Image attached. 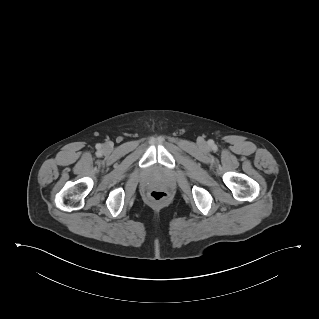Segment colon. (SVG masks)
<instances>
[{
  "label": "colon",
  "instance_id": "5ec220e1",
  "mask_svg": "<svg viewBox=\"0 0 319 319\" xmlns=\"http://www.w3.org/2000/svg\"><path fill=\"white\" fill-rule=\"evenodd\" d=\"M149 198L155 202H161L167 198V193L161 189H154L149 193Z\"/></svg>",
  "mask_w": 319,
  "mask_h": 319
}]
</instances>
